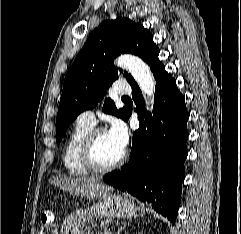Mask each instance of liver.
Returning <instances> with one entry per match:
<instances>
[{"label": "liver", "mask_w": 241, "mask_h": 234, "mask_svg": "<svg viewBox=\"0 0 241 234\" xmlns=\"http://www.w3.org/2000/svg\"><path fill=\"white\" fill-rule=\"evenodd\" d=\"M49 182L63 191L87 199H97L111 190L110 186L96 178L54 176Z\"/></svg>", "instance_id": "liver-1"}]
</instances>
